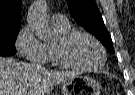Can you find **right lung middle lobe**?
Returning <instances> with one entry per match:
<instances>
[{
  "label": "right lung middle lobe",
  "instance_id": "right-lung-middle-lobe-1",
  "mask_svg": "<svg viewBox=\"0 0 135 95\" xmlns=\"http://www.w3.org/2000/svg\"><path fill=\"white\" fill-rule=\"evenodd\" d=\"M18 33L19 30L8 33H0V56L15 55V41Z\"/></svg>",
  "mask_w": 135,
  "mask_h": 95
}]
</instances>
